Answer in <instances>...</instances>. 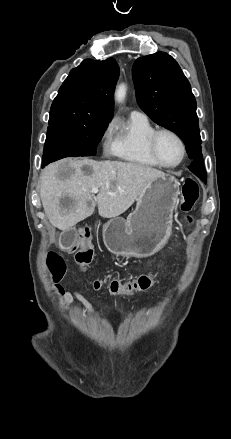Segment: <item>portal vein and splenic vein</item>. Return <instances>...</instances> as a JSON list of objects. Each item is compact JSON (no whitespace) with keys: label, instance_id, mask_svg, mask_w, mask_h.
Instances as JSON below:
<instances>
[{"label":"portal vein and splenic vein","instance_id":"1","mask_svg":"<svg viewBox=\"0 0 231 439\" xmlns=\"http://www.w3.org/2000/svg\"><path fill=\"white\" fill-rule=\"evenodd\" d=\"M91 192L92 193H98L99 192V189L98 188H92V190H91ZM107 194H111L110 192H106Z\"/></svg>","mask_w":231,"mask_h":439}]
</instances>
